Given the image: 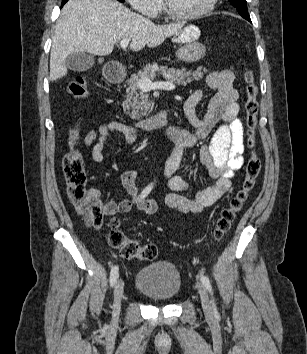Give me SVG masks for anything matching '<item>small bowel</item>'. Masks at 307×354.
Instances as JSON below:
<instances>
[{"label":"small bowel","instance_id":"c3829d8e","mask_svg":"<svg viewBox=\"0 0 307 354\" xmlns=\"http://www.w3.org/2000/svg\"><path fill=\"white\" fill-rule=\"evenodd\" d=\"M234 73L230 69L211 72L206 82L214 94L207 103V111L199 117L196 107L206 96L202 90L193 92L184 103V112L193 130L170 127L167 136L173 144L170 159L164 167V177L168 188L172 191L164 196L165 204L182 213H199L214 204L231 188V178L243 165L244 130L238 117L239 93L234 87ZM119 132L128 143L137 140L136 129L118 121H109L97 128H91L83 138L86 146H92L91 156L95 162L104 160L105 142L111 133ZM209 138V142L206 140ZM201 144L200 160L213 183L201 190L194 191L190 183L176 175L187 148ZM137 171L128 170L121 176L124 189L130 198L118 203L109 201L105 204L108 214L126 213L134 204L139 210L153 214L157 203L153 200L139 199L136 184ZM90 194L97 200L101 198L99 189H90ZM193 193V198L184 194Z\"/></svg>","mask_w":307,"mask_h":354}]
</instances>
